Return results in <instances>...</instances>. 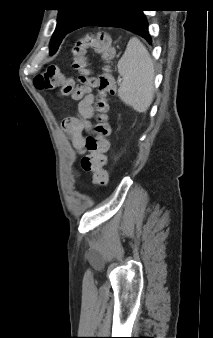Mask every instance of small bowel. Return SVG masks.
<instances>
[{
	"mask_svg": "<svg viewBox=\"0 0 213 338\" xmlns=\"http://www.w3.org/2000/svg\"><path fill=\"white\" fill-rule=\"evenodd\" d=\"M78 128L74 131L66 130L73 149L80 155L86 152L85 132L90 131L91 124L89 120L94 114L93 96L86 95L78 104L77 109Z\"/></svg>",
	"mask_w": 213,
	"mask_h": 338,
	"instance_id": "obj_1",
	"label": "small bowel"
}]
</instances>
